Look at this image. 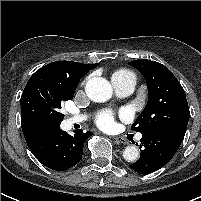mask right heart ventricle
Masks as SVG:
<instances>
[{
  "instance_id": "1",
  "label": "right heart ventricle",
  "mask_w": 201,
  "mask_h": 201,
  "mask_svg": "<svg viewBox=\"0 0 201 201\" xmlns=\"http://www.w3.org/2000/svg\"><path fill=\"white\" fill-rule=\"evenodd\" d=\"M130 76H135L133 72L128 69L121 68L112 74V80H122Z\"/></svg>"
}]
</instances>
